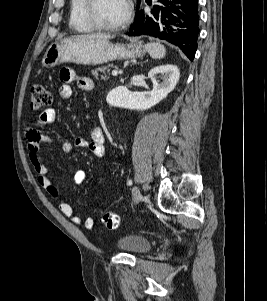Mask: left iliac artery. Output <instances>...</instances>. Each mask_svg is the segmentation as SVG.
<instances>
[{"label":"left iliac artery","instance_id":"left-iliac-artery-1","mask_svg":"<svg viewBox=\"0 0 267 301\" xmlns=\"http://www.w3.org/2000/svg\"><path fill=\"white\" fill-rule=\"evenodd\" d=\"M132 184H133V182L131 179L127 181V185L131 186Z\"/></svg>","mask_w":267,"mask_h":301}]
</instances>
